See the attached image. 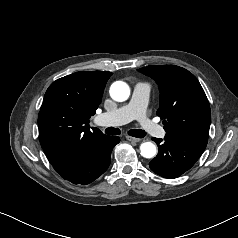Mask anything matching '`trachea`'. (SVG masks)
<instances>
[{
  "label": "trachea",
  "mask_w": 238,
  "mask_h": 238,
  "mask_svg": "<svg viewBox=\"0 0 238 238\" xmlns=\"http://www.w3.org/2000/svg\"><path fill=\"white\" fill-rule=\"evenodd\" d=\"M105 133L109 134V135H119L120 130L118 128L108 127V128L105 129ZM128 134L130 136L137 137V138H143L146 135L145 131L141 130V129L129 130Z\"/></svg>",
  "instance_id": "trachea-1"
}]
</instances>
